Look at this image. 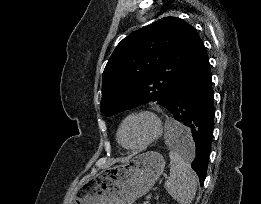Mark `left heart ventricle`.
<instances>
[{
	"label": "left heart ventricle",
	"mask_w": 261,
	"mask_h": 204,
	"mask_svg": "<svg viewBox=\"0 0 261 204\" xmlns=\"http://www.w3.org/2000/svg\"><path fill=\"white\" fill-rule=\"evenodd\" d=\"M153 126L146 118L130 120L123 128L121 138L126 145H136L144 141L152 132Z\"/></svg>",
	"instance_id": "b2bd125f"
}]
</instances>
